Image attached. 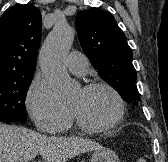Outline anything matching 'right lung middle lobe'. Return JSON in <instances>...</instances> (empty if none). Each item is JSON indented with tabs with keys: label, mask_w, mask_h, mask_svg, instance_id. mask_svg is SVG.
<instances>
[{
	"label": "right lung middle lobe",
	"mask_w": 168,
	"mask_h": 162,
	"mask_svg": "<svg viewBox=\"0 0 168 162\" xmlns=\"http://www.w3.org/2000/svg\"><path fill=\"white\" fill-rule=\"evenodd\" d=\"M34 72L0 80V120L26 121L25 98Z\"/></svg>",
	"instance_id": "obj_1"
}]
</instances>
